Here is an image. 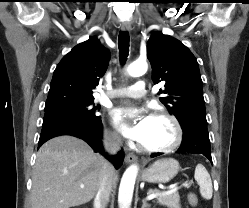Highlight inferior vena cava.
<instances>
[{"instance_id":"602c4592","label":"inferior vena cava","mask_w":249,"mask_h":208,"mask_svg":"<svg viewBox=\"0 0 249 208\" xmlns=\"http://www.w3.org/2000/svg\"><path fill=\"white\" fill-rule=\"evenodd\" d=\"M105 150L114 155L116 154L122 145L121 136L118 133H109L104 136L103 140ZM114 173V167L108 161L105 162L102 171V177L100 180L99 188L94 199V208H105L109 202L111 190H112V175Z\"/></svg>"}]
</instances>
